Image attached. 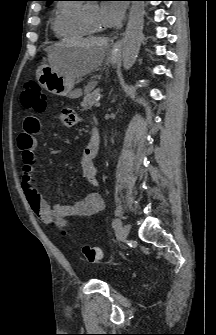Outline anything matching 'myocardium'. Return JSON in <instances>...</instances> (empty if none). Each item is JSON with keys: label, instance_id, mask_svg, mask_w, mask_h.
I'll return each instance as SVG.
<instances>
[{"label": "myocardium", "instance_id": "1", "mask_svg": "<svg viewBox=\"0 0 216 335\" xmlns=\"http://www.w3.org/2000/svg\"><path fill=\"white\" fill-rule=\"evenodd\" d=\"M81 17H82V21H83L84 25L86 26V28L91 33H102L103 32L102 29H99V28L92 25V23L90 22L87 14H86L85 8L82 9V11H81Z\"/></svg>", "mask_w": 216, "mask_h": 335}]
</instances>
